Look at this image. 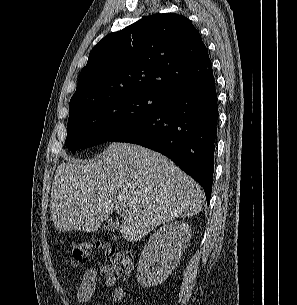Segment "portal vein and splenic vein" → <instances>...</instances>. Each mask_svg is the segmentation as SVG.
<instances>
[{
  "label": "portal vein and splenic vein",
  "mask_w": 297,
  "mask_h": 305,
  "mask_svg": "<svg viewBox=\"0 0 297 305\" xmlns=\"http://www.w3.org/2000/svg\"><path fill=\"white\" fill-rule=\"evenodd\" d=\"M116 211H117L118 215H120V216L125 215V210L121 206L116 207Z\"/></svg>",
  "instance_id": "portal-vein-and-splenic-vein-1"
}]
</instances>
